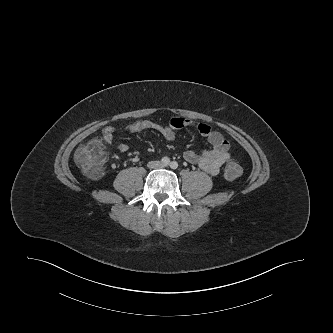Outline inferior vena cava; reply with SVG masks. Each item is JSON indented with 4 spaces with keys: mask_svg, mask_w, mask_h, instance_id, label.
I'll return each mask as SVG.
<instances>
[{
    "mask_svg": "<svg viewBox=\"0 0 333 333\" xmlns=\"http://www.w3.org/2000/svg\"><path fill=\"white\" fill-rule=\"evenodd\" d=\"M161 166H162V164L159 161H151L148 163V167L150 169L160 168Z\"/></svg>",
    "mask_w": 333,
    "mask_h": 333,
    "instance_id": "inferior-vena-cava-1",
    "label": "inferior vena cava"
}]
</instances>
